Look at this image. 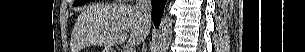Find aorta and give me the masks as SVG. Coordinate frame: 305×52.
I'll list each match as a JSON object with an SVG mask.
<instances>
[{
  "label": "aorta",
  "mask_w": 305,
  "mask_h": 52,
  "mask_svg": "<svg viewBox=\"0 0 305 52\" xmlns=\"http://www.w3.org/2000/svg\"><path fill=\"white\" fill-rule=\"evenodd\" d=\"M172 19L164 15L161 19L155 42V52H167L172 39Z\"/></svg>",
  "instance_id": "aorta-1"
}]
</instances>
